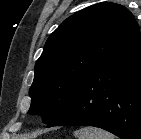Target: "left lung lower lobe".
Here are the masks:
<instances>
[{"label":"left lung lower lobe","instance_id":"0a47b994","mask_svg":"<svg viewBox=\"0 0 141 139\" xmlns=\"http://www.w3.org/2000/svg\"><path fill=\"white\" fill-rule=\"evenodd\" d=\"M75 125L141 139V33L94 70L47 127Z\"/></svg>","mask_w":141,"mask_h":139}]
</instances>
